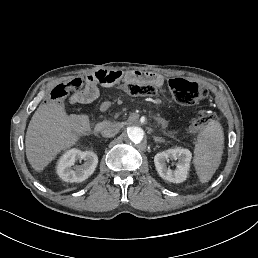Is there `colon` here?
<instances>
[{"mask_svg": "<svg viewBox=\"0 0 258 258\" xmlns=\"http://www.w3.org/2000/svg\"><path fill=\"white\" fill-rule=\"evenodd\" d=\"M86 81L82 77H76L66 83L59 84L51 91V99L59 100L67 96L72 91H78L84 88ZM169 89L174 99L186 106L199 103L206 97V89L204 86L187 81L182 78H173L168 81ZM122 89L133 96H152L156 92V88L152 84L129 79L122 84ZM214 115L209 113L195 119L190 125V131L196 133L200 131L206 124L214 119Z\"/></svg>", "mask_w": 258, "mask_h": 258, "instance_id": "obj_1", "label": "colon"}]
</instances>
